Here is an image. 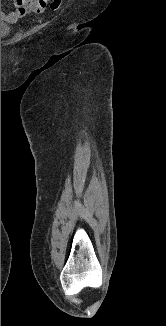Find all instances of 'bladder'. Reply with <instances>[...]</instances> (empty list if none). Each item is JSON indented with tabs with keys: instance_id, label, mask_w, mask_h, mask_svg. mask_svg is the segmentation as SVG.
<instances>
[{
	"instance_id": "31cf9c89",
	"label": "bladder",
	"mask_w": 166,
	"mask_h": 326,
	"mask_svg": "<svg viewBox=\"0 0 166 326\" xmlns=\"http://www.w3.org/2000/svg\"><path fill=\"white\" fill-rule=\"evenodd\" d=\"M10 32V25L1 21V38L6 37Z\"/></svg>"
}]
</instances>
